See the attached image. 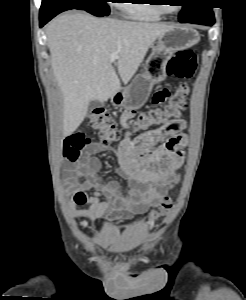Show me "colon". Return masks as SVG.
Masks as SVG:
<instances>
[{
    "mask_svg": "<svg viewBox=\"0 0 246 300\" xmlns=\"http://www.w3.org/2000/svg\"><path fill=\"white\" fill-rule=\"evenodd\" d=\"M197 58L191 50H182L173 56L166 66V74L178 79H191L196 72ZM189 94V86L183 83L172 94L158 92L153 97L157 105L150 110L139 114L132 123L134 131H142L154 124H163L154 132L145 134L133 143L135 148L150 144L161 139H168L180 127V112L186 108L185 99ZM159 101H162L159 103ZM88 124L91 128L98 130L101 142L104 145L117 142L123 137L122 130L118 129L110 113L104 108L94 109ZM87 140L81 133L74 134L65 142L64 154L71 160L79 158L81 150L86 146ZM173 208V200L169 197L163 198L160 206L148 214V219L157 222L167 216Z\"/></svg>",
    "mask_w": 246,
    "mask_h": 300,
    "instance_id": "colon-1",
    "label": "colon"
}]
</instances>
